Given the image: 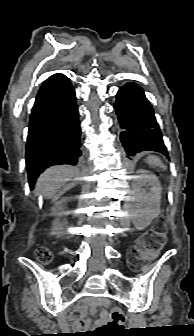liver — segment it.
I'll use <instances>...</instances> for the list:
<instances>
[{
  "label": "liver",
  "mask_w": 194,
  "mask_h": 336,
  "mask_svg": "<svg viewBox=\"0 0 194 336\" xmlns=\"http://www.w3.org/2000/svg\"><path fill=\"white\" fill-rule=\"evenodd\" d=\"M77 169L69 166H53L48 168L37 180L36 188L46 197L53 196L57 190L71 181Z\"/></svg>",
  "instance_id": "liver-1"
}]
</instances>
